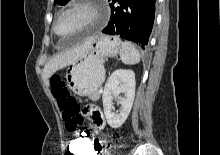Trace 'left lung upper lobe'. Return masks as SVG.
<instances>
[{
  "label": "left lung upper lobe",
  "instance_id": "1",
  "mask_svg": "<svg viewBox=\"0 0 220 155\" xmlns=\"http://www.w3.org/2000/svg\"><path fill=\"white\" fill-rule=\"evenodd\" d=\"M55 3L60 4V5H65L69 0H54Z\"/></svg>",
  "mask_w": 220,
  "mask_h": 155
}]
</instances>
